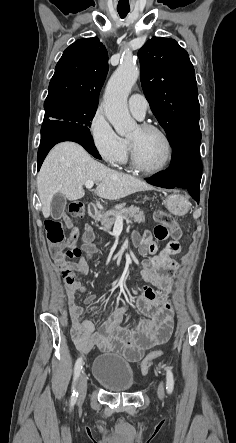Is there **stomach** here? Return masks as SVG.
I'll return each mask as SVG.
<instances>
[{
  "instance_id": "stomach-1",
  "label": "stomach",
  "mask_w": 236,
  "mask_h": 443,
  "mask_svg": "<svg viewBox=\"0 0 236 443\" xmlns=\"http://www.w3.org/2000/svg\"><path fill=\"white\" fill-rule=\"evenodd\" d=\"M166 207L175 215H183L188 211L189 202L180 194H171L166 199Z\"/></svg>"
}]
</instances>
